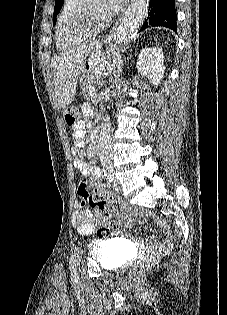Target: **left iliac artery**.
<instances>
[{
  "label": "left iliac artery",
  "instance_id": "44dca946",
  "mask_svg": "<svg viewBox=\"0 0 227 315\" xmlns=\"http://www.w3.org/2000/svg\"><path fill=\"white\" fill-rule=\"evenodd\" d=\"M104 175L106 177V179L109 182H112L114 180V173L113 170L108 169L104 172ZM69 267L71 270V274L72 275H76V255H75V251L74 253L71 255L70 261H69Z\"/></svg>",
  "mask_w": 227,
  "mask_h": 315
}]
</instances>
